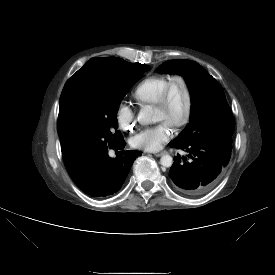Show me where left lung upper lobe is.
<instances>
[{"instance_id": "left-lung-upper-lobe-1", "label": "left lung upper lobe", "mask_w": 275, "mask_h": 275, "mask_svg": "<svg viewBox=\"0 0 275 275\" xmlns=\"http://www.w3.org/2000/svg\"><path fill=\"white\" fill-rule=\"evenodd\" d=\"M159 71L181 74L191 91L190 123L171 142L213 141L232 146L234 119L221 85L194 61L169 60Z\"/></svg>"}]
</instances>
